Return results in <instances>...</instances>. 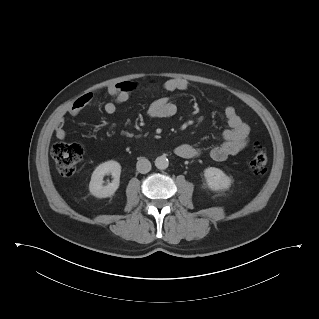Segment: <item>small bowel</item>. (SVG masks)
Returning a JSON list of instances; mask_svg holds the SVG:
<instances>
[{"label":"small bowel","mask_w":319,"mask_h":319,"mask_svg":"<svg viewBox=\"0 0 319 319\" xmlns=\"http://www.w3.org/2000/svg\"><path fill=\"white\" fill-rule=\"evenodd\" d=\"M161 89L165 92H184L189 89V83L184 78H171L165 81ZM135 91V87L130 82H120L109 85L105 93L111 97V100L104 105V111L108 115L116 112L118 105L127 102ZM96 101L93 93H85L77 97L68 107L67 113L71 116L78 115L84 108L92 105ZM177 113V106L169 96H162L155 100L147 109V115L151 119L161 120L169 119ZM224 117L228 128L223 132V142L213 147L209 154L215 161H224L228 157L243 150L249 143L250 127L244 122L232 106L224 108ZM54 135L57 139L66 137L64 124H59ZM175 153L186 159L199 156L200 150L188 143L179 144L175 148Z\"/></svg>","instance_id":"obj_1"}]
</instances>
